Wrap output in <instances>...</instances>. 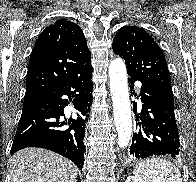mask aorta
Wrapping results in <instances>:
<instances>
[{"instance_id":"obj_1","label":"aorta","mask_w":196,"mask_h":182,"mask_svg":"<svg viewBox=\"0 0 196 182\" xmlns=\"http://www.w3.org/2000/svg\"><path fill=\"white\" fill-rule=\"evenodd\" d=\"M110 90L114 109V122L118 134L119 147L129 144L132 134L131 105L127 84L125 63L121 58L111 61L109 66Z\"/></svg>"}]
</instances>
